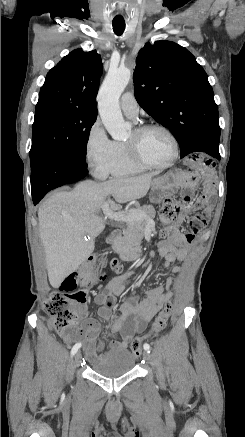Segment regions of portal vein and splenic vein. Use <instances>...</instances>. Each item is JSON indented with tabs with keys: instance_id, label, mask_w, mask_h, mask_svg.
I'll list each match as a JSON object with an SVG mask.
<instances>
[{
	"instance_id": "obj_1",
	"label": "portal vein and splenic vein",
	"mask_w": 245,
	"mask_h": 437,
	"mask_svg": "<svg viewBox=\"0 0 245 437\" xmlns=\"http://www.w3.org/2000/svg\"><path fill=\"white\" fill-rule=\"evenodd\" d=\"M102 210H103V213L105 215V218H109V219L115 220V221H127L133 215V212L132 213L124 212V211L123 212H113L110 209L108 202H105V204L102 206Z\"/></svg>"
}]
</instances>
